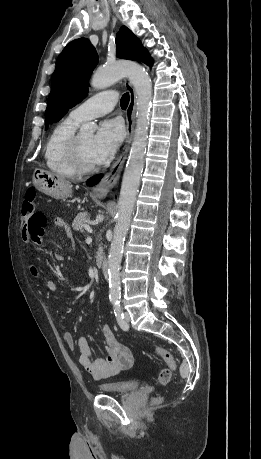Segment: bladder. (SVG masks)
Masks as SVG:
<instances>
[{
	"mask_svg": "<svg viewBox=\"0 0 261 459\" xmlns=\"http://www.w3.org/2000/svg\"><path fill=\"white\" fill-rule=\"evenodd\" d=\"M139 387L137 381L123 380L100 384L98 389L103 393L130 394L137 391Z\"/></svg>",
	"mask_w": 261,
	"mask_h": 459,
	"instance_id": "obj_1",
	"label": "bladder"
}]
</instances>
